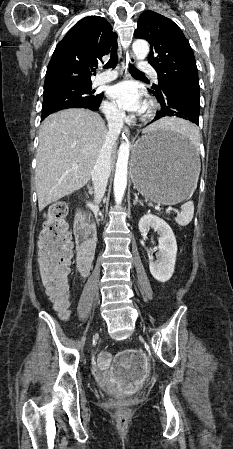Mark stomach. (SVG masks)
Segmentation results:
<instances>
[{"instance_id": "stomach-1", "label": "stomach", "mask_w": 233, "mask_h": 449, "mask_svg": "<svg viewBox=\"0 0 233 449\" xmlns=\"http://www.w3.org/2000/svg\"><path fill=\"white\" fill-rule=\"evenodd\" d=\"M199 156L182 133L150 128L136 142L130 165L135 188L147 199L173 205L183 201L196 185Z\"/></svg>"}]
</instances>
